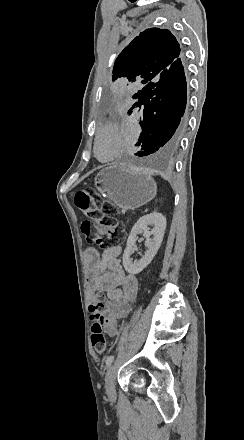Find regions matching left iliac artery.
Listing matches in <instances>:
<instances>
[{
	"instance_id": "left-iliac-artery-1",
	"label": "left iliac artery",
	"mask_w": 244,
	"mask_h": 440,
	"mask_svg": "<svg viewBox=\"0 0 244 440\" xmlns=\"http://www.w3.org/2000/svg\"><path fill=\"white\" fill-rule=\"evenodd\" d=\"M114 360V355H110L106 358L105 364H106V368L109 367L111 365V363Z\"/></svg>"
}]
</instances>
